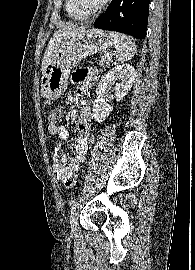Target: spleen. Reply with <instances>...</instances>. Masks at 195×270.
Here are the masks:
<instances>
[{"instance_id":"spleen-1","label":"spleen","mask_w":195,"mask_h":270,"mask_svg":"<svg viewBox=\"0 0 195 270\" xmlns=\"http://www.w3.org/2000/svg\"><path fill=\"white\" fill-rule=\"evenodd\" d=\"M108 35L117 51V60L121 62L130 60L136 53V45L130 38L117 32H109Z\"/></svg>"}]
</instances>
